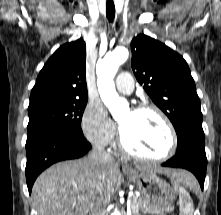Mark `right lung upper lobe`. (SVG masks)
Here are the masks:
<instances>
[{
  "instance_id": "cb5924a9",
  "label": "right lung upper lobe",
  "mask_w": 221,
  "mask_h": 215,
  "mask_svg": "<svg viewBox=\"0 0 221 215\" xmlns=\"http://www.w3.org/2000/svg\"><path fill=\"white\" fill-rule=\"evenodd\" d=\"M83 39L60 46L40 71L30 104L52 100L88 99Z\"/></svg>"
}]
</instances>
